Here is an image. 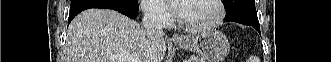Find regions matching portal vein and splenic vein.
<instances>
[{"instance_id":"1","label":"portal vein and splenic vein","mask_w":331,"mask_h":62,"mask_svg":"<svg viewBox=\"0 0 331 62\" xmlns=\"http://www.w3.org/2000/svg\"><path fill=\"white\" fill-rule=\"evenodd\" d=\"M110 62H141L136 54H116L108 56Z\"/></svg>"}]
</instances>
